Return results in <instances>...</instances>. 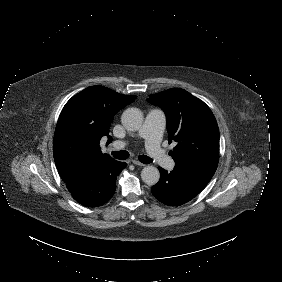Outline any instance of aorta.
Listing matches in <instances>:
<instances>
[{"instance_id":"1","label":"aorta","mask_w":282,"mask_h":282,"mask_svg":"<svg viewBox=\"0 0 282 282\" xmlns=\"http://www.w3.org/2000/svg\"><path fill=\"white\" fill-rule=\"evenodd\" d=\"M143 113L136 107H130L124 110L121 121L126 129L137 130L143 122ZM141 178L147 185L153 186L159 182L160 172L154 166H146L141 172Z\"/></svg>"}]
</instances>
